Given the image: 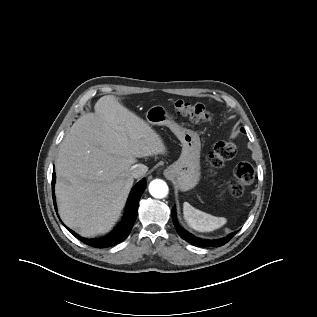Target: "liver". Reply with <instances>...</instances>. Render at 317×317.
Segmentation results:
<instances>
[{
  "label": "liver",
  "instance_id": "obj_1",
  "mask_svg": "<svg viewBox=\"0 0 317 317\" xmlns=\"http://www.w3.org/2000/svg\"><path fill=\"white\" fill-rule=\"evenodd\" d=\"M80 117L60 144L55 168L62 221L81 236L108 232L123 210L138 160L166 154L161 136L114 95Z\"/></svg>",
  "mask_w": 317,
  "mask_h": 317
}]
</instances>
